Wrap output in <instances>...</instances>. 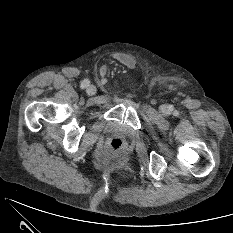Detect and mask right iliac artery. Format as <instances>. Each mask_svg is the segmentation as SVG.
Listing matches in <instances>:
<instances>
[{
	"mask_svg": "<svg viewBox=\"0 0 233 233\" xmlns=\"http://www.w3.org/2000/svg\"><path fill=\"white\" fill-rule=\"evenodd\" d=\"M89 83H90L89 80L85 79V80L82 81L80 87L82 89H84V88H86L89 85Z\"/></svg>",
	"mask_w": 233,
	"mask_h": 233,
	"instance_id": "82829eb1",
	"label": "right iliac artery"
}]
</instances>
